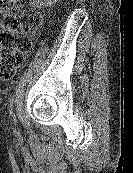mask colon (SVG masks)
Returning a JSON list of instances; mask_svg holds the SVG:
<instances>
[{"label":"colon","mask_w":133,"mask_h":173,"mask_svg":"<svg viewBox=\"0 0 133 173\" xmlns=\"http://www.w3.org/2000/svg\"><path fill=\"white\" fill-rule=\"evenodd\" d=\"M20 0H0V79L14 76L32 47L42 24L41 16L20 10Z\"/></svg>","instance_id":"1"}]
</instances>
